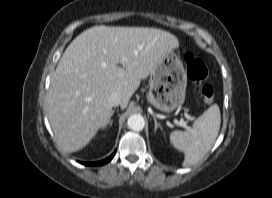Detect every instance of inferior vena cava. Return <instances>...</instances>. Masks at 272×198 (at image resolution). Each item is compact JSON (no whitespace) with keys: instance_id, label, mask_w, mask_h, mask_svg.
Wrapping results in <instances>:
<instances>
[{"instance_id":"inferior-vena-cava-1","label":"inferior vena cava","mask_w":272,"mask_h":198,"mask_svg":"<svg viewBox=\"0 0 272 198\" xmlns=\"http://www.w3.org/2000/svg\"><path fill=\"white\" fill-rule=\"evenodd\" d=\"M121 95L118 92H113L109 96V102L112 107L121 105Z\"/></svg>"}]
</instances>
